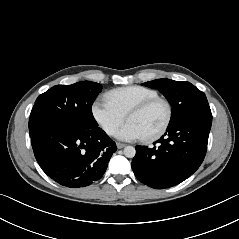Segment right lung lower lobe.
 Returning <instances> with one entry per match:
<instances>
[{"instance_id":"98d812e1","label":"right lung lower lobe","mask_w":239,"mask_h":239,"mask_svg":"<svg viewBox=\"0 0 239 239\" xmlns=\"http://www.w3.org/2000/svg\"><path fill=\"white\" fill-rule=\"evenodd\" d=\"M35 158L57 183L79 188L101 179L115 142L100 128H45L31 137Z\"/></svg>"}]
</instances>
